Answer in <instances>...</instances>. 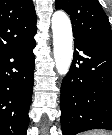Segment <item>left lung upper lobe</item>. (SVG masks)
Instances as JSON below:
<instances>
[{
    "label": "left lung upper lobe",
    "mask_w": 112,
    "mask_h": 135,
    "mask_svg": "<svg viewBox=\"0 0 112 135\" xmlns=\"http://www.w3.org/2000/svg\"><path fill=\"white\" fill-rule=\"evenodd\" d=\"M71 18L74 38L112 44L108 17L97 0H56Z\"/></svg>",
    "instance_id": "1"
}]
</instances>
